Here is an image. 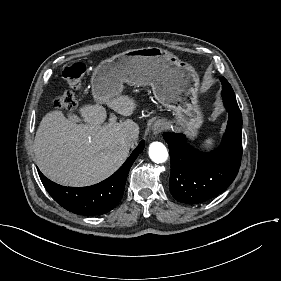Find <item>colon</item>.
Segmentation results:
<instances>
[{"mask_svg":"<svg viewBox=\"0 0 281 281\" xmlns=\"http://www.w3.org/2000/svg\"><path fill=\"white\" fill-rule=\"evenodd\" d=\"M85 74L86 64L78 61L64 69L63 79L68 85L75 86L80 83V81L85 77ZM55 103L59 110L71 111L76 107L77 99L72 92L65 91L56 98Z\"/></svg>","mask_w":281,"mask_h":281,"instance_id":"colon-1","label":"colon"}]
</instances>
